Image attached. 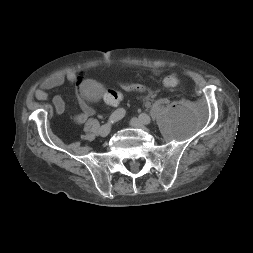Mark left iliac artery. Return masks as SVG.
Returning <instances> with one entry per match:
<instances>
[{
    "mask_svg": "<svg viewBox=\"0 0 253 253\" xmlns=\"http://www.w3.org/2000/svg\"><path fill=\"white\" fill-rule=\"evenodd\" d=\"M148 115L147 114H144V113H142V114H140L139 115V118L142 120V121H144V122H147L148 120ZM150 124V123H149Z\"/></svg>",
    "mask_w": 253,
    "mask_h": 253,
    "instance_id": "1",
    "label": "left iliac artery"
}]
</instances>
